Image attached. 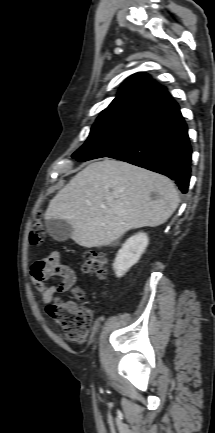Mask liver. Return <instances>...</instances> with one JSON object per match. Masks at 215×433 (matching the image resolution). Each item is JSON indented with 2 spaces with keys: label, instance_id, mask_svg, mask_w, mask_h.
Masks as SVG:
<instances>
[{
  "label": "liver",
  "instance_id": "liver-1",
  "mask_svg": "<svg viewBox=\"0 0 215 433\" xmlns=\"http://www.w3.org/2000/svg\"><path fill=\"white\" fill-rule=\"evenodd\" d=\"M179 204L173 182L126 162L91 163L50 201L45 220L70 224L72 240L93 248L106 246L130 229L164 224Z\"/></svg>",
  "mask_w": 215,
  "mask_h": 433
}]
</instances>
